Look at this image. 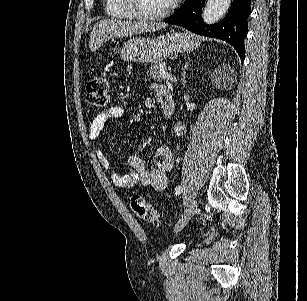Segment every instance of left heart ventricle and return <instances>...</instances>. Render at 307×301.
Here are the masks:
<instances>
[{
	"label": "left heart ventricle",
	"mask_w": 307,
	"mask_h": 301,
	"mask_svg": "<svg viewBox=\"0 0 307 301\" xmlns=\"http://www.w3.org/2000/svg\"><path fill=\"white\" fill-rule=\"evenodd\" d=\"M143 5L141 13H155V11H160L161 7L164 5L165 0H142Z\"/></svg>",
	"instance_id": "obj_1"
}]
</instances>
